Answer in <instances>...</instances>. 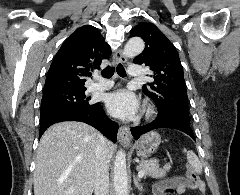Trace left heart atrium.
<instances>
[{
  "label": "left heart atrium",
  "mask_w": 240,
  "mask_h": 195,
  "mask_svg": "<svg viewBox=\"0 0 240 195\" xmlns=\"http://www.w3.org/2000/svg\"><path fill=\"white\" fill-rule=\"evenodd\" d=\"M106 106L110 114L124 120L136 117L139 103L136 95L125 89H118L107 96Z\"/></svg>",
  "instance_id": "39dd6f15"
}]
</instances>
